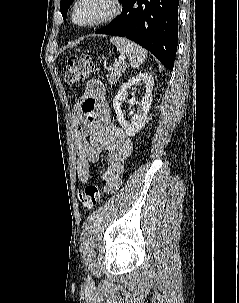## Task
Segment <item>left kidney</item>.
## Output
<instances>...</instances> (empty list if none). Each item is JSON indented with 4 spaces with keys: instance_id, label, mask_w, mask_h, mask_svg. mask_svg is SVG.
Returning a JSON list of instances; mask_svg holds the SVG:
<instances>
[{
    "instance_id": "5707ae66",
    "label": "left kidney",
    "mask_w": 239,
    "mask_h": 303,
    "mask_svg": "<svg viewBox=\"0 0 239 303\" xmlns=\"http://www.w3.org/2000/svg\"><path fill=\"white\" fill-rule=\"evenodd\" d=\"M140 83L145 84V95L140 102L136 101L135 98L128 100V103L130 105H139L137 113H134V110L130 112L132 120L131 123H128L125 120L123 112L121 110V104L123 101L127 100V90L133 85ZM153 85L154 79L152 75L148 73H139L138 75L129 79L125 84H123L114 98L113 107L116 111L117 121L129 136H134L145 125L147 113L152 102Z\"/></svg>"
}]
</instances>
